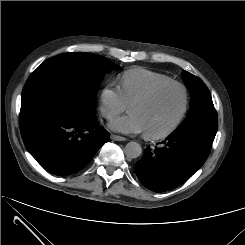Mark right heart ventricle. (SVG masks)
<instances>
[{
  "instance_id": "e07e8e85",
  "label": "right heart ventricle",
  "mask_w": 245,
  "mask_h": 245,
  "mask_svg": "<svg viewBox=\"0 0 245 245\" xmlns=\"http://www.w3.org/2000/svg\"><path fill=\"white\" fill-rule=\"evenodd\" d=\"M172 78L156 71L133 68L126 70L119 78L120 91L127 104L137 96L145 93L152 86Z\"/></svg>"
}]
</instances>
